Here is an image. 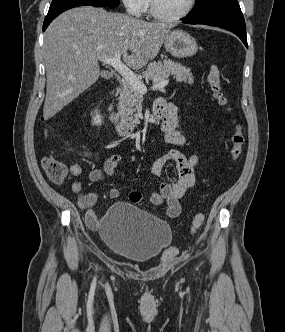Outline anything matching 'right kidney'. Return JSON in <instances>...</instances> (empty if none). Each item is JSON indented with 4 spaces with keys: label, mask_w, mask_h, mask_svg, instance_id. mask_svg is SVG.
Instances as JSON below:
<instances>
[{
    "label": "right kidney",
    "mask_w": 285,
    "mask_h": 332,
    "mask_svg": "<svg viewBox=\"0 0 285 332\" xmlns=\"http://www.w3.org/2000/svg\"><path fill=\"white\" fill-rule=\"evenodd\" d=\"M92 122L95 125H101L102 124V117L97 111H95V116H93Z\"/></svg>",
    "instance_id": "right-kidney-1"
}]
</instances>
